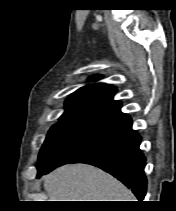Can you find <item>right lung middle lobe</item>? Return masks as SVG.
<instances>
[{
  "instance_id": "dd1d6c3e",
  "label": "right lung middle lobe",
  "mask_w": 176,
  "mask_h": 211,
  "mask_svg": "<svg viewBox=\"0 0 176 211\" xmlns=\"http://www.w3.org/2000/svg\"><path fill=\"white\" fill-rule=\"evenodd\" d=\"M97 124L60 118L49 131L40 150L37 168L49 165L67 147L80 139Z\"/></svg>"
}]
</instances>
